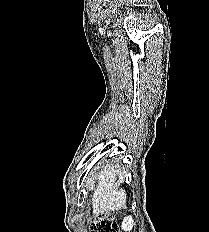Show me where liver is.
Instances as JSON below:
<instances>
[{"label": "liver", "instance_id": "obj_1", "mask_svg": "<svg viewBox=\"0 0 209 232\" xmlns=\"http://www.w3.org/2000/svg\"><path fill=\"white\" fill-rule=\"evenodd\" d=\"M119 171L117 165H106L96 174L99 184L92 195L94 213L116 211L125 205L127 196L125 190L119 188L120 183L117 181Z\"/></svg>", "mask_w": 209, "mask_h": 232}]
</instances>
